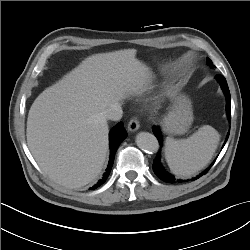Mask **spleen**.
<instances>
[{
  "label": "spleen",
  "instance_id": "spleen-1",
  "mask_svg": "<svg viewBox=\"0 0 250 250\" xmlns=\"http://www.w3.org/2000/svg\"><path fill=\"white\" fill-rule=\"evenodd\" d=\"M220 134L209 125H204L187 139L167 137L165 159L170 170L177 176L189 177L203 169L212 159Z\"/></svg>",
  "mask_w": 250,
  "mask_h": 250
}]
</instances>
